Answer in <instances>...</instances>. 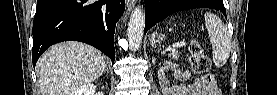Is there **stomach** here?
Returning <instances> with one entry per match:
<instances>
[{
  "label": "stomach",
  "mask_w": 277,
  "mask_h": 95,
  "mask_svg": "<svg viewBox=\"0 0 277 95\" xmlns=\"http://www.w3.org/2000/svg\"><path fill=\"white\" fill-rule=\"evenodd\" d=\"M164 38H165V35H163V34L158 35V41H160V40H164Z\"/></svg>",
  "instance_id": "1"
}]
</instances>
